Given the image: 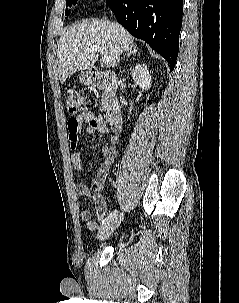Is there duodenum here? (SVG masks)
Returning <instances> with one entry per match:
<instances>
[{
    "label": "duodenum",
    "mask_w": 239,
    "mask_h": 303,
    "mask_svg": "<svg viewBox=\"0 0 239 303\" xmlns=\"http://www.w3.org/2000/svg\"><path fill=\"white\" fill-rule=\"evenodd\" d=\"M87 78L94 87L104 90L108 128L112 134H119L123 128V116L120 103L115 96L119 85L117 76L112 72L91 70Z\"/></svg>",
    "instance_id": "duodenum-1"
}]
</instances>
